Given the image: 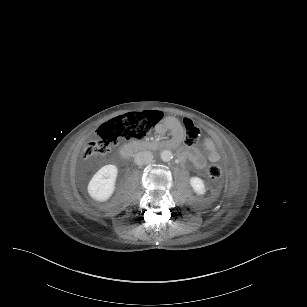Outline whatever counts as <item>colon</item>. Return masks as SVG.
I'll list each match as a JSON object with an SVG mask.
<instances>
[{
	"label": "colon",
	"instance_id": "colon-1",
	"mask_svg": "<svg viewBox=\"0 0 307 307\" xmlns=\"http://www.w3.org/2000/svg\"><path fill=\"white\" fill-rule=\"evenodd\" d=\"M163 118L161 111H143L117 116L103 123L97 131V139L85 145L83 158L88 159L97 154L107 152L113 144L121 140L136 141L148 134ZM184 142L187 146H194L201 137L200 127L188 118H183ZM222 171L220 166L213 162L208 166V177L218 180Z\"/></svg>",
	"mask_w": 307,
	"mask_h": 307
}]
</instances>
